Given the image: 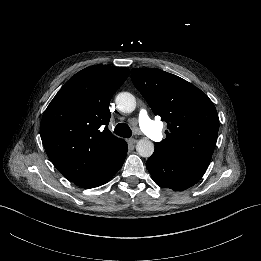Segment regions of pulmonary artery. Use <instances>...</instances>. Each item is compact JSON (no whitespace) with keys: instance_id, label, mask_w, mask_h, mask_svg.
<instances>
[{"instance_id":"1","label":"pulmonary artery","mask_w":261,"mask_h":261,"mask_svg":"<svg viewBox=\"0 0 261 261\" xmlns=\"http://www.w3.org/2000/svg\"><path fill=\"white\" fill-rule=\"evenodd\" d=\"M148 116L146 111H141L140 116H139V123H140V128L143 133L148 134L149 138L155 142L158 143L162 140L163 135L159 130V127L157 123L153 120H148Z\"/></svg>"}]
</instances>
